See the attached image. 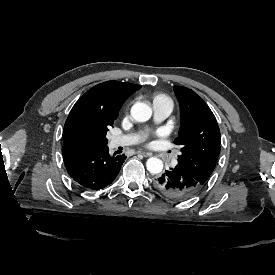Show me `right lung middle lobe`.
Masks as SVG:
<instances>
[{"mask_svg": "<svg viewBox=\"0 0 275 275\" xmlns=\"http://www.w3.org/2000/svg\"><path fill=\"white\" fill-rule=\"evenodd\" d=\"M115 119L89 118L75 125L69 135V144H89L95 146H107L106 134L108 127Z\"/></svg>", "mask_w": 275, "mask_h": 275, "instance_id": "1", "label": "right lung middle lobe"}]
</instances>
